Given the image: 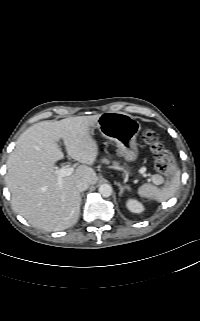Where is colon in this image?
I'll list each match as a JSON object with an SVG mask.
<instances>
[{
  "label": "colon",
  "mask_w": 200,
  "mask_h": 321,
  "mask_svg": "<svg viewBox=\"0 0 200 321\" xmlns=\"http://www.w3.org/2000/svg\"><path fill=\"white\" fill-rule=\"evenodd\" d=\"M144 141L150 146L154 153L157 171L165 176H169L173 165V157L170 152L163 147L157 134L153 131H147L144 134Z\"/></svg>",
  "instance_id": "obj_1"
}]
</instances>
